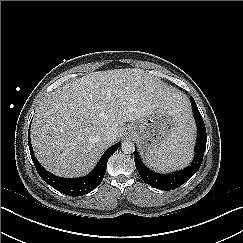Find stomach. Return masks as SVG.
<instances>
[{
	"instance_id": "stomach-1",
	"label": "stomach",
	"mask_w": 243,
	"mask_h": 243,
	"mask_svg": "<svg viewBox=\"0 0 243 243\" xmlns=\"http://www.w3.org/2000/svg\"><path fill=\"white\" fill-rule=\"evenodd\" d=\"M178 122L168 107L155 108L143 121L132 123L129 133L147 153L165 145L176 132Z\"/></svg>"
}]
</instances>
